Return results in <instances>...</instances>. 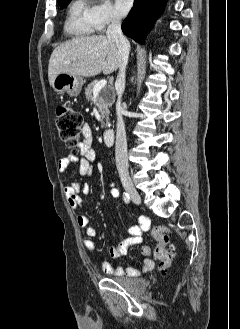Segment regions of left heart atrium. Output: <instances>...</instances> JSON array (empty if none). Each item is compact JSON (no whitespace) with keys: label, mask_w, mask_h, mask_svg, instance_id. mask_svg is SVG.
Listing matches in <instances>:
<instances>
[{"label":"left heart atrium","mask_w":240,"mask_h":329,"mask_svg":"<svg viewBox=\"0 0 240 329\" xmlns=\"http://www.w3.org/2000/svg\"><path fill=\"white\" fill-rule=\"evenodd\" d=\"M133 0H115L114 10L119 16L126 15L131 9Z\"/></svg>","instance_id":"1"}]
</instances>
